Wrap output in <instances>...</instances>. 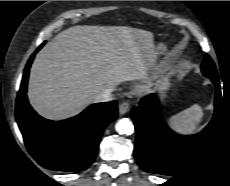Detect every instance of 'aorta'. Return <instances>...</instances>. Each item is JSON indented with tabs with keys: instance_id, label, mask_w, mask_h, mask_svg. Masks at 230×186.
<instances>
[{
	"instance_id": "obj_1",
	"label": "aorta",
	"mask_w": 230,
	"mask_h": 186,
	"mask_svg": "<svg viewBox=\"0 0 230 186\" xmlns=\"http://www.w3.org/2000/svg\"><path fill=\"white\" fill-rule=\"evenodd\" d=\"M116 131L121 135H131L134 132V126L128 118H122L116 123Z\"/></svg>"
}]
</instances>
